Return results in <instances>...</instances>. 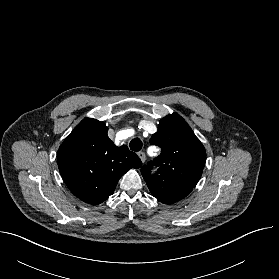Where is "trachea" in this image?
Wrapping results in <instances>:
<instances>
[{"label":"trachea","instance_id":"obj_1","mask_svg":"<svg viewBox=\"0 0 279 279\" xmlns=\"http://www.w3.org/2000/svg\"><path fill=\"white\" fill-rule=\"evenodd\" d=\"M129 146L132 151H140L142 149V141L139 138H134L130 141Z\"/></svg>","mask_w":279,"mask_h":279}]
</instances>
